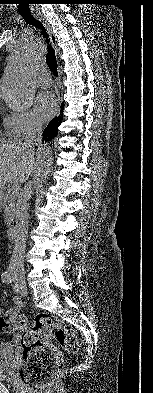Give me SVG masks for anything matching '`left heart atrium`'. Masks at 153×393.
I'll use <instances>...</instances> for the list:
<instances>
[{"label":"left heart atrium","mask_w":153,"mask_h":393,"mask_svg":"<svg viewBox=\"0 0 153 393\" xmlns=\"http://www.w3.org/2000/svg\"><path fill=\"white\" fill-rule=\"evenodd\" d=\"M57 109V99L49 91L41 92L35 100V111L41 120L49 119Z\"/></svg>","instance_id":"39dd6f15"}]
</instances>
